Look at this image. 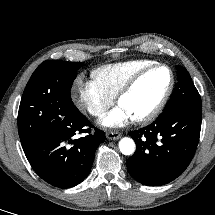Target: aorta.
I'll return each instance as SVG.
<instances>
[{
  "mask_svg": "<svg viewBox=\"0 0 215 215\" xmlns=\"http://www.w3.org/2000/svg\"><path fill=\"white\" fill-rule=\"evenodd\" d=\"M119 149L124 155H131L135 151V143L131 138L124 137L119 142Z\"/></svg>",
  "mask_w": 215,
  "mask_h": 215,
  "instance_id": "aorta-1",
  "label": "aorta"
}]
</instances>
